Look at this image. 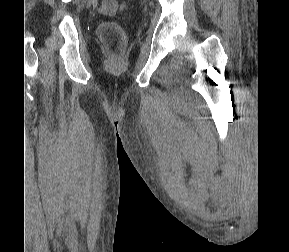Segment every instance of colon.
<instances>
[{
    "instance_id": "1",
    "label": "colon",
    "mask_w": 289,
    "mask_h": 252,
    "mask_svg": "<svg viewBox=\"0 0 289 252\" xmlns=\"http://www.w3.org/2000/svg\"><path fill=\"white\" fill-rule=\"evenodd\" d=\"M124 8L117 0H101L99 12L103 15H113ZM98 35L106 47L113 64H117L122 56L126 43V34L115 22H103L98 27Z\"/></svg>"
}]
</instances>
